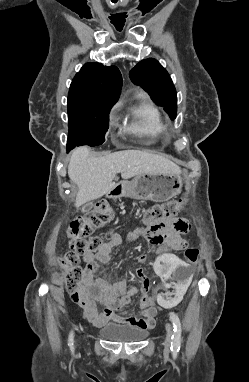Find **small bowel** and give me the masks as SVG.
<instances>
[{"instance_id": "c3829d8e", "label": "small bowel", "mask_w": 249, "mask_h": 382, "mask_svg": "<svg viewBox=\"0 0 249 382\" xmlns=\"http://www.w3.org/2000/svg\"><path fill=\"white\" fill-rule=\"evenodd\" d=\"M189 229L190 224L186 218L168 216L151 227L130 233L127 241L144 237L150 243L158 245L159 250H167L168 247L173 250H182L186 245L183 234ZM122 241L120 234L112 233L97 251L84 254L85 276L80 289L82 298L78 303L84 309L86 318L95 326H103L108 322H121L148 330L155 325L156 309L155 301L148 296V291L143 292L144 282L141 283V287L128 288L125 279L111 281L110 276L102 268V265L110 261L113 249L121 245ZM137 257L140 262H144L146 253L139 252ZM100 271L102 275L96 276ZM140 290L141 314L125 316V306ZM98 303L103 305L102 311L99 310Z\"/></svg>"}]
</instances>
